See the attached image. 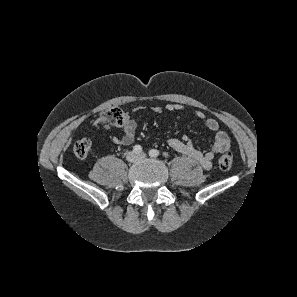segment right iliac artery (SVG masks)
Listing matches in <instances>:
<instances>
[{"label":"right iliac artery","mask_w":297,"mask_h":297,"mask_svg":"<svg viewBox=\"0 0 297 297\" xmlns=\"http://www.w3.org/2000/svg\"><path fill=\"white\" fill-rule=\"evenodd\" d=\"M133 151H134L135 153H141V152H142V147H141L140 145H135V146L133 147Z\"/></svg>","instance_id":"82829eb1"}]
</instances>
